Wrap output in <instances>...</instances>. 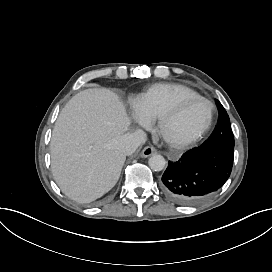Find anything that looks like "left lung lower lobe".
<instances>
[{
	"label": "left lung lower lobe",
	"mask_w": 272,
	"mask_h": 272,
	"mask_svg": "<svg viewBox=\"0 0 272 272\" xmlns=\"http://www.w3.org/2000/svg\"><path fill=\"white\" fill-rule=\"evenodd\" d=\"M234 149L202 146L187 151L175 163L169 162L160 188L173 202L195 204L217 191L229 178Z\"/></svg>",
	"instance_id": "obj_1"
}]
</instances>
